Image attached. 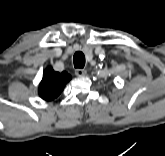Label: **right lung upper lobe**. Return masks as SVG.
<instances>
[{"instance_id":"obj_1","label":"right lung upper lobe","mask_w":165,"mask_h":156,"mask_svg":"<svg viewBox=\"0 0 165 156\" xmlns=\"http://www.w3.org/2000/svg\"><path fill=\"white\" fill-rule=\"evenodd\" d=\"M70 79L71 76L67 72H55L51 67H48L39 85L40 97L46 101L53 100L62 92Z\"/></svg>"}]
</instances>
